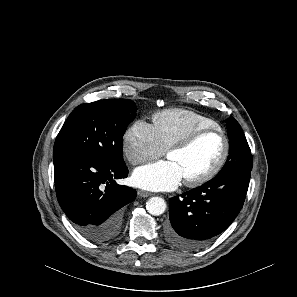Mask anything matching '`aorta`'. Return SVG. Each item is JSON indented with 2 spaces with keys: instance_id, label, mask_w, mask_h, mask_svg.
Returning a JSON list of instances; mask_svg holds the SVG:
<instances>
[{
  "instance_id": "obj_1",
  "label": "aorta",
  "mask_w": 297,
  "mask_h": 297,
  "mask_svg": "<svg viewBox=\"0 0 297 297\" xmlns=\"http://www.w3.org/2000/svg\"><path fill=\"white\" fill-rule=\"evenodd\" d=\"M146 209L150 214L159 216L165 212L166 202L161 197H152L146 203Z\"/></svg>"
}]
</instances>
